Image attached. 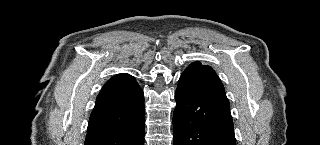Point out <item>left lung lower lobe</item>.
Segmentation results:
<instances>
[{
  "instance_id": "0a47b994",
  "label": "left lung lower lobe",
  "mask_w": 320,
  "mask_h": 145,
  "mask_svg": "<svg viewBox=\"0 0 320 145\" xmlns=\"http://www.w3.org/2000/svg\"><path fill=\"white\" fill-rule=\"evenodd\" d=\"M175 99L174 145H236L230 104L210 66L189 65L179 78Z\"/></svg>"
}]
</instances>
